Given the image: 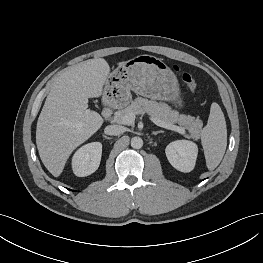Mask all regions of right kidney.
<instances>
[{
	"label": "right kidney",
	"instance_id": "obj_1",
	"mask_svg": "<svg viewBox=\"0 0 263 263\" xmlns=\"http://www.w3.org/2000/svg\"><path fill=\"white\" fill-rule=\"evenodd\" d=\"M102 144L88 143L79 148L72 158V169L76 176L85 177L94 173L100 164Z\"/></svg>",
	"mask_w": 263,
	"mask_h": 263
}]
</instances>
